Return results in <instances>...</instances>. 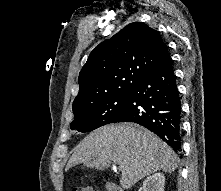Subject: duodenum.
I'll return each mask as SVG.
<instances>
[{"mask_svg": "<svg viewBox=\"0 0 221 191\" xmlns=\"http://www.w3.org/2000/svg\"><path fill=\"white\" fill-rule=\"evenodd\" d=\"M106 190L107 191H123V189L114 182H108L106 184Z\"/></svg>", "mask_w": 221, "mask_h": 191, "instance_id": "410a0bca", "label": "duodenum"}]
</instances>
